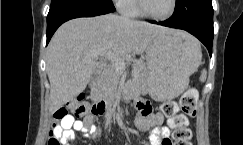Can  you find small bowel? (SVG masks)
Listing matches in <instances>:
<instances>
[{
    "label": "small bowel",
    "mask_w": 243,
    "mask_h": 145,
    "mask_svg": "<svg viewBox=\"0 0 243 145\" xmlns=\"http://www.w3.org/2000/svg\"><path fill=\"white\" fill-rule=\"evenodd\" d=\"M138 116L136 126L140 131L151 130L149 135L150 145H169L170 130L162 126L163 115L152 111L149 103L137 101ZM75 131L81 132L84 136L91 139H97L100 135V129L93 124V118L87 116L84 120H75L69 115L62 119L53 128L54 134L60 139L61 145H70L69 142L75 139Z\"/></svg>",
    "instance_id": "c3829d8e"
}]
</instances>
